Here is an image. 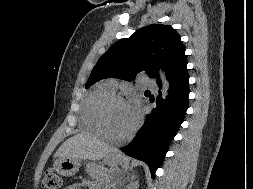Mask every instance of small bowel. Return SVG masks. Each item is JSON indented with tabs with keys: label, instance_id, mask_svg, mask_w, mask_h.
<instances>
[{
	"label": "small bowel",
	"instance_id": "obj_1",
	"mask_svg": "<svg viewBox=\"0 0 253 189\" xmlns=\"http://www.w3.org/2000/svg\"><path fill=\"white\" fill-rule=\"evenodd\" d=\"M92 189L93 188V185L91 182H88V181H83L82 183H79V184H72V185H69L66 189Z\"/></svg>",
	"mask_w": 253,
	"mask_h": 189
}]
</instances>
